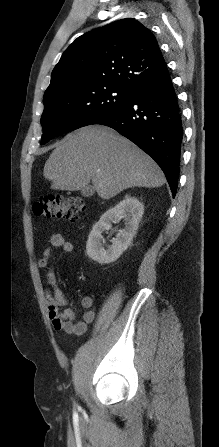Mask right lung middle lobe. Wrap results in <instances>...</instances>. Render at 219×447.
<instances>
[{"instance_id": "obj_1", "label": "right lung middle lobe", "mask_w": 219, "mask_h": 447, "mask_svg": "<svg viewBox=\"0 0 219 447\" xmlns=\"http://www.w3.org/2000/svg\"><path fill=\"white\" fill-rule=\"evenodd\" d=\"M132 95L122 87L103 85L83 93L59 91L44 96L41 144L62 133L92 124L104 114L126 104Z\"/></svg>"}]
</instances>
